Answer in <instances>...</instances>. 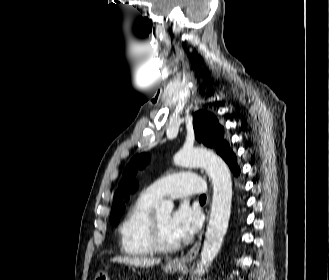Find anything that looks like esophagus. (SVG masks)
<instances>
[{
    "label": "esophagus",
    "mask_w": 329,
    "mask_h": 280,
    "mask_svg": "<svg viewBox=\"0 0 329 280\" xmlns=\"http://www.w3.org/2000/svg\"><path fill=\"white\" fill-rule=\"evenodd\" d=\"M203 232L199 235L197 241L193 245V247L189 250V252L186 255H181L179 258H175L172 263L176 265H184L188 262H191L196 258L198 255L200 246H201V240H202Z\"/></svg>",
    "instance_id": "obj_1"
}]
</instances>
